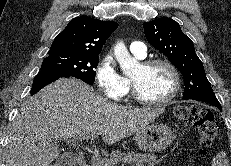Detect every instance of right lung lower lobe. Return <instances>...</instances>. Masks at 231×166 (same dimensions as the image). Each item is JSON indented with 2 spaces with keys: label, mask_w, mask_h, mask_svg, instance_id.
Segmentation results:
<instances>
[{
  "label": "right lung lower lobe",
  "mask_w": 231,
  "mask_h": 166,
  "mask_svg": "<svg viewBox=\"0 0 231 166\" xmlns=\"http://www.w3.org/2000/svg\"><path fill=\"white\" fill-rule=\"evenodd\" d=\"M63 77H71V76H65L53 71H39V73L36 75V77L33 80V85L30 91L31 95L37 93L44 86Z\"/></svg>",
  "instance_id": "right-lung-lower-lobe-1"
}]
</instances>
